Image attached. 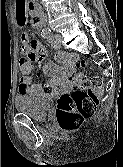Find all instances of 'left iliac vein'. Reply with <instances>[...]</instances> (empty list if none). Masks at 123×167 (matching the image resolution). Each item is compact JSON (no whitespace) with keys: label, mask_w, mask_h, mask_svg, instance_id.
<instances>
[{"label":"left iliac vein","mask_w":123,"mask_h":167,"mask_svg":"<svg viewBox=\"0 0 123 167\" xmlns=\"http://www.w3.org/2000/svg\"><path fill=\"white\" fill-rule=\"evenodd\" d=\"M62 36L60 34L55 35V49H59L62 45Z\"/></svg>","instance_id":"4c4485c4"}]
</instances>
